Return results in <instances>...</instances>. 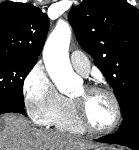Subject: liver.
I'll return each instance as SVG.
<instances>
[{
  "instance_id": "obj_1",
  "label": "liver",
  "mask_w": 139,
  "mask_h": 150,
  "mask_svg": "<svg viewBox=\"0 0 139 150\" xmlns=\"http://www.w3.org/2000/svg\"><path fill=\"white\" fill-rule=\"evenodd\" d=\"M96 146L69 134L34 128L18 114L0 117V150H90Z\"/></svg>"
}]
</instances>
